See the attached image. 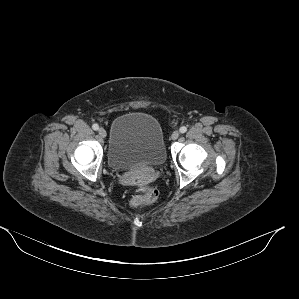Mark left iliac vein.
Wrapping results in <instances>:
<instances>
[{
  "instance_id": "1",
  "label": "left iliac vein",
  "mask_w": 299,
  "mask_h": 299,
  "mask_svg": "<svg viewBox=\"0 0 299 299\" xmlns=\"http://www.w3.org/2000/svg\"><path fill=\"white\" fill-rule=\"evenodd\" d=\"M179 135H180L179 131H174L171 135V138L173 140H176L179 137Z\"/></svg>"
}]
</instances>
